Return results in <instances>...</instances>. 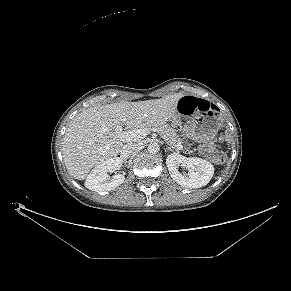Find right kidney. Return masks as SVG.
Segmentation results:
<instances>
[{
	"label": "right kidney",
	"mask_w": 291,
	"mask_h": 291,
	"mask_svg": "<svg viewBox=\"0 0 291 291\" xmlns=\"http://www.w3.org/2000/svg\"><path fill=\"white\" fill-rule=\"evenodd\" d=\"M121 165L122 162L118 157L111 158L97 165L87 176L85 187L96 192H105L115 189L124 182L125 176L123 174H115L110 178L108 172L118 170Z\"/></svg>",
	"instance_id": "ca27d5eb"
}]
</instances>
